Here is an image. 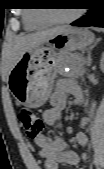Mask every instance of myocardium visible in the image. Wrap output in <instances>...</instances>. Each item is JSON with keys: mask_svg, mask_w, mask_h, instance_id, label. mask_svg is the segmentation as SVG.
<instances>
[{"mask_svg": "<svg viewBox=\"0 0 104 169\" xmlns=\"http://www.w3.org/2000/svg\"><path fill=\"white\" fill-rule=\"evenodd\" d=\"M79 16H80V12L77 11L73 15H70V16L64 17V18H56V17H53L49 14H45L42 17L44 19H46L47 21H49L50 23H70V22L76 20Z\"/></svg>", "mask_w": 104, "mask_h": 169, "instance_id": "myocardium-1", "label": "myocardium"}]
</instances>
